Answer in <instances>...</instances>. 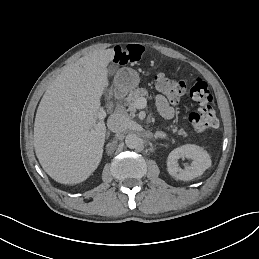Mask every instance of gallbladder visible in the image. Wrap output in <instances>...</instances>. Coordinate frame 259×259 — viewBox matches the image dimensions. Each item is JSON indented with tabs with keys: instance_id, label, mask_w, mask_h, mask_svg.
<instances>
[{
	"instance_id": "bac80fb5",
	"label": "gallbladder",
	"mask_w": 259,
	"mask_h": 259,
	"mask_svg": "<svg viewBox=\"0 0 259 259\" xmlns=\"http://www.w3.org/2000/svg\"><path fill=\"white\" fill-rule=\"evenodd\" d=\"M113 69H114V67L113 66H111V68H110V72H112L113 71ZM113 96V90L112 89H110L109 90V96H108V98H111Z\"/></svg>"
}]
</instances>
